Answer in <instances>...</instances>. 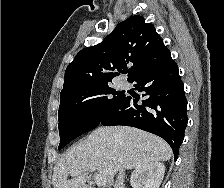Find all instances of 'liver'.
Wrapping results in <instances>:
<instances>
[{
    "instance_id": "obj_1",
    "label": "liver",
    "mask_w": 224,
    "mask_h": 188,
    "mask_svg": "<svg viewBox=\"0 0 224 188\" xmlns=\"http://www.w3.org/2000/svg\"><path fill=\"white\" fill-rule=\"evenodd\" d=\"M172 149L151 133L124 126L99 127L85 140L71 147L57 162L52 176L53 188H86L89 167L111 180L121 168L136 169L155 161H167ZM73 172L69 180L68 176Z\"/></svg>"
}]
</instances>
